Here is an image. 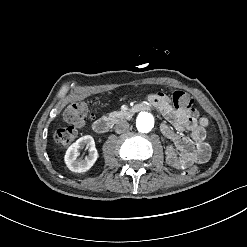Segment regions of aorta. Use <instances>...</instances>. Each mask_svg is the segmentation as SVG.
Instances as JSON below:
<instances>
[{"mask_svg":"<svg viewBox=\"0 0 247 247\" xmlns=\"http://www.w3.org/2000/svg\"><path fill=\"white\" fill-rule=\"evenodd\" d=\"M137 129L140 132H150L154 126V118L150 113L141 112L137 117Z\"/></svg>","mask_w":247,"mask_h":247,"instance_id":"obj_1","label":"aorta"}]
</instances>
